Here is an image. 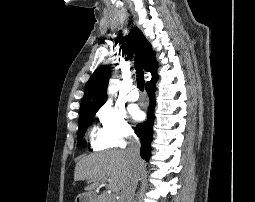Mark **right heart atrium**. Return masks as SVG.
<instances>
[{
    "mask_svg": "<svg viewBox=\"0 0 255 202\" xmlns=\"http://www.w3.org/2000/svg\"><path fill=\"white\" fill-rule=\"evenodd\" d=\"M97 117L100 122V132L97 146L100 148H113L124 145L130 139L134 130L123 110L111 103L102 105Z\"/></svg>",
    "mask_w": 255,
    "mask_h": 202,
    "instance_id": "d8ad5b80",
    "label": "right heart atrium"
}]
</instances>
